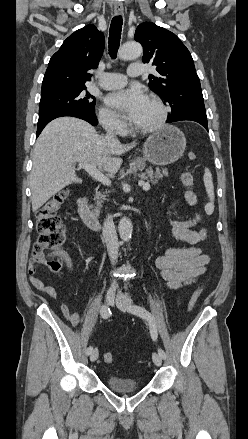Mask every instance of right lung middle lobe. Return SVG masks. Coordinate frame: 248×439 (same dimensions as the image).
I'll return each mask as SVG.
<instances>
[{"label": "right lung middle lobe", "mask_w": 248, "mask_h": 439, "mask_svg": "<svg viewBox=\"0 0 248 439\" xmlns=\"http://www.w3.org/2000/svg\"><path fill=\"white\" fill-rule=\"evenodd\" d=\"M85 88L77 87L41 95L39 117L64 109L95 112V98Z\"/></svg>", "instance_id": "obj_1"}]
</instances>
